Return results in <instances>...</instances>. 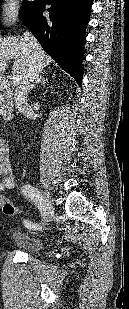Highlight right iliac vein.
Instances as JSON below:
<instances>
[{
	"label": "right iliac vein",
	"instance_id": "63e3f726",
	"mask_svg": "<svg viewBox=\"0 0 129 309\" xmlns=\"http://www.w3.org/2000/svg\"><path fill=\"white\" fill-rule=\"evenodd\" d=\"M43 205L45 207L46 216L44 222L49 221L53 216V206L50 201V196L47 192H43Z\"/></svg>",
	"mask_w": 129,
	"mask_h": 309
}]
</instances>
